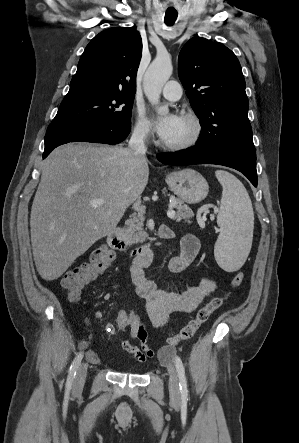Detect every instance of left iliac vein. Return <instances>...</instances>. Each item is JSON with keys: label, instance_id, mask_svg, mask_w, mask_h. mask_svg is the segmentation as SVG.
Wrapping results in <instances>:
<instances>
[{"label": "left iliac vein", "instance_id": "obj_1", "mask_svg": "<svg viewBox=\"0 0 299 443\" xmlns=\"http://www.w3.org/2000/svg\"><path fill=\"white\" fill-rule=\"evenodd\" d=\"M167 369H168V374H169L170 394L174 399H179L180 389H179V380H178L176 369H175L174 365L171 363L168 364Z\"/></svg>", "mask_w": 299, "mask_h": 443}]
</instances>
